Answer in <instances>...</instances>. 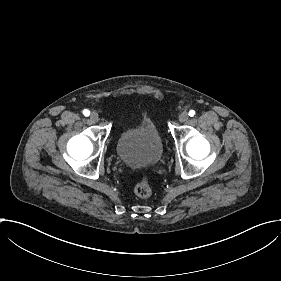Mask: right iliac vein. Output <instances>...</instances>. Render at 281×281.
Wrapping results in <instances>:
<instances>
[{
    "label": "right iliac vein",
    "mask_w": 281,
    "mask_h": 281,
    "mask_svg": "<svg viewBox=\"0 0 281 281\" xmlns=\"http://www.w3.org/2000/svg\"><path fill=\"white\" fill-rule=\"evenodd\" d=\"M90 120H91L92 122H97V121L99 120V115H98L97 113H92V114L90 115Z\"/></svg>",
    "instance_id": "63e3f726"
}]
</instances>
